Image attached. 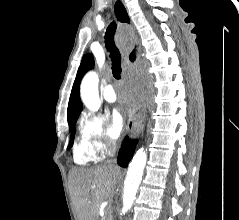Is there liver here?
<instances>
[{"instance_id":"1","label":"liver","mask_w":239,"mask_h":220,"mask_svg":"<svg viewBox=\"0 0 239 220\" xmlns=\"http://www.w3.org/2000/svg\"><path fill=\"white\" fill-rule=\"evenodd\" d=\"M121 178L120 168L112 165L73 169L69 183L78 220H99L102 202L113 195Z\"/></svg>"}]
</instances>
